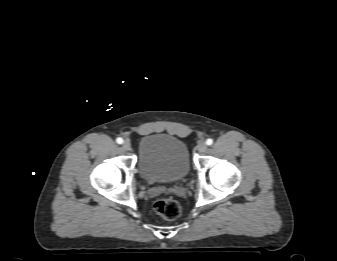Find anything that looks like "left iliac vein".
<instances>
[{"label":"left iliac vein","instance_id":"1","mask_svg":"<svg viewBox=\"0 0 337 261\" xmlns=\"http://www.w3.org/2000/svg\"><path fill=\"white\" fill-rule=\"evenodd\" d=\"M206 150H207V144L205 142L199 143V145H198V151L200 153H204V152H206Z\"/></svg>","mask_w":337,"mask_h":261}]
</instances>
